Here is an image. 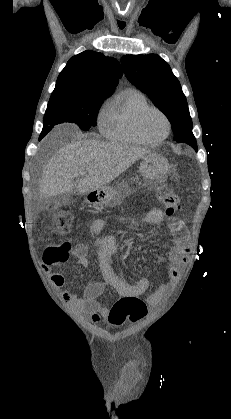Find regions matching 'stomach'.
Instances as JSON below:
<instances>
[{
	"mask_svg": "<svg viewBox=\"0 0 231 419\" xmlns=\"http://www.w3.org/2000/svg\"><path fill=\"white\" fill-rule=\"evenodd\" d=\"M168 160L160 154L149 153L140 163L139 171L148 183H161L169 173ZM130 193L127 184L118 187L103 186L87 194L86 201L93 205L118 203Z\"/></svg>",
	"mask_w": 231,
	"mask_h": 419,
	"instance_id": "1",
	"label": "stomach"
}]
</instances>
